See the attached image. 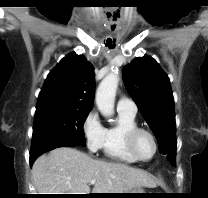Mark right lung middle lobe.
Masks as SVG:
<instances>
[{
  "instance_id": "obj_1",
  "label": "right lung middle lobe",
  "mask_w": 208,
  "mask_h": 198,
  "mask_svg": "<svg viewBox=\"0 0 208 198\" xmlns=\"http://www.w3.org/2000/svg\"><path fill=\"white\" fill-rule=\"evenodd\" d=\"M89 112V109L73 106L36 109L31 149L58 139L85 146L83 124Z\"/></svg>"
}]
</instances>
